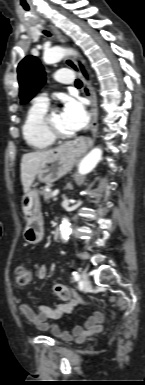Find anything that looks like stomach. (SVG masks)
<instances>
[{
    "instance_id": "stomach-1",
    "label": "stomach",
    "mask_w": 145,
    "mask_h": 385,
    "mask_svg": "<svg viewBox=\"0 0 145 385\" xmlns=\"http://www.w3.org/2000/svg\"><path fill=\"white\" fill-rule=\"evenodd\" d=\"M75 158V153L70 150L68 145L60 146L41 164L37 172L38 181L51 184L60 179L71 170ZM21 205L27 218L24 239L30 244L39 243L44 235L39 190L30 189L25 193Z\"/></svg>"
}]
</instances>
